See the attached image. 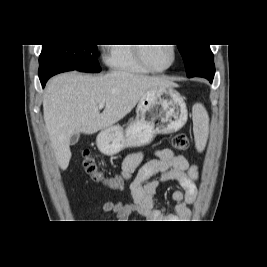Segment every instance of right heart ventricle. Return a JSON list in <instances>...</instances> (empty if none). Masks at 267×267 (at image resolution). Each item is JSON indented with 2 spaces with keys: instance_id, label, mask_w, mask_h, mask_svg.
<instances>
[{
  "instance_id": "right-heart-ventricle-1",
  "label": "right heart ventricle",
  "mask_w": 267,
  "mask_h": 267,
  "mask_svg": "<svg viewBox=\"0 0 267 267\" xmlns=\"http://www.w3.org/2000/svg\"><path fill=\"white\" fill-rule=\"evenodd\" d=\"M132 45L126 43L111 44L107 57L108 65L114 71L149 73L150 70L137 57L136 46Z\"/></svg>"
}]
</instances>
